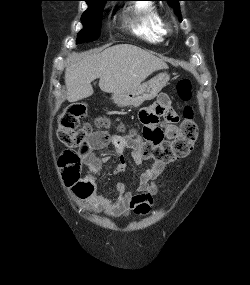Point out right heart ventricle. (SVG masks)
Listing matches in <instances>:
<instances>
[{
	"mask_svg": "<svg viewBox=\"0 0 250 285\" xmlns=\"http://www.w3.org/2000/svg\"><path fill=\"white\" fill-rule=\"evenodd\" d=\"M131 31L139 38L150 42L159 43L166 32L163 27V18L158 9L150 2H137L130 9Z\"/></svg>",
	"mask_w": 250,
	"mask_h": 285,
	"instance_id": "right-heart-ventricle-1",
	"label": "right heart ventricle"
}]
</instances>
